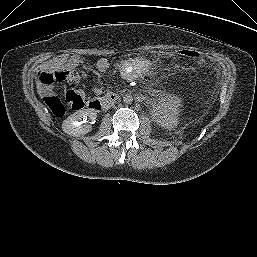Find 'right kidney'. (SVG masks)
Segmentation results:
<instances>
[{"label":"right kidney","mask_w":257,"mask_h":257,"mask_svg":"<svg viewBox=\"0 0 257 257\" xmlns=\"http://www.w3.org/2000/svg\"><path fill=\"white\" fill-rule=\"evenodd\" d=\"M96 112L92 109H82L70 115L62 123V129L71 136H81L91 131V123L96 119Z\"/></svg>","instance_id":"obj_1"}]
</instances>
